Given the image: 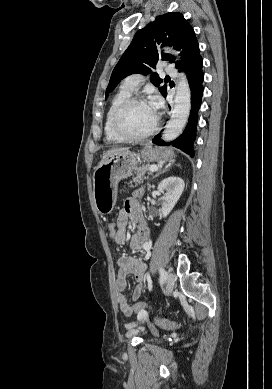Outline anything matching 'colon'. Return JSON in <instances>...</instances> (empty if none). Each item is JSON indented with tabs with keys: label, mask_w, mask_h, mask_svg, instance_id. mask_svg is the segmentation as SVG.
I'll use <instances>...</instances> for the list:
<instances>
[{
	"label": "colon",
	"mask_w": 272,
	"mask_h": 389,
	"mask_svg": "<svg viewBox=\"0 0 272 389\" xmlns=\"http://www.w3.org/2000/svg\"><path fill=\"white\" fill-rule=\"evenodd\" d=\"M108 232H109V235L112 238H114V236L118 233L117 222L109 223V225H108ZM133 308H134V311H136L139 314H143V315H146V314L151 312L150 307L146 303H143V302L135 303L133 305ZM154 322L160 328L167 329V330L177 329L180 326V324L175 322V321H171V320H169L167 318L158 317V316L154 317Z\"/></svg>",
	"instance_id": "1"
}]
</instances>
